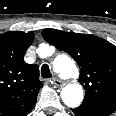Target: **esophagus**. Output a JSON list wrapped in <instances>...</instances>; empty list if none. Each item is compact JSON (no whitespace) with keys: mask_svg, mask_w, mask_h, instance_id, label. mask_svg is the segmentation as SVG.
Masks as SVG:
<instances>
[{"mask_svg":"<svg viewBox=\"0 0 116 116\" xmlns=\"http://www.w3.org/2000/svg\"><path fill=\"white\" fill-rule=\"evenodd\" d=\"M51 82L54 86H57V87H62L64 85L63 82L56 77L52 78Z\"/></svg>","mask_w":116,"mask_h":116,"instance_id":"34e87169","label":"esophagus"}]
</instances>
